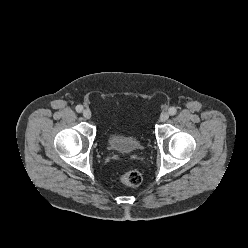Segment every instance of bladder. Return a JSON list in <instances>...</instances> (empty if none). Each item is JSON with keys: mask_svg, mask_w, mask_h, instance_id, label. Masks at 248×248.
<instances>
[{"mask_svg": "<svg viewBox=\"0 0 248 248\" xmlns=\"http://www.w3.org/2000/svg\"><path fill=\"white\" fill-rule=\"evenodd\" d=\"M106 143L110 149L121 153H134L142 146L141 141L136 136L115 130L108 132Z\"/></svg>", "mask_w": 248, "mask_h": 248, "instance_id": "bladder-1", "label": "bladder"}]
</instances>
